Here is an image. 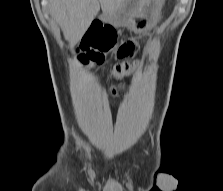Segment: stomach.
<instances>
[{
	"instance_id": "0dacf381",
	"label": "stomach",
	"mask_w": 223,
	"mask_h": 191,
	"mask_svg": "<svg viewBox=\"0 0 223 191\" xmlns=\"http://www.w3.org/2000/svg\"><path fill=\"white\" fill-rule=\"evenodd\" d=\"M164 0H127L113 13L103 12L101 19L116 27H125L133 32H143L157 21Z\"/></svg>"
}]
</instances>
